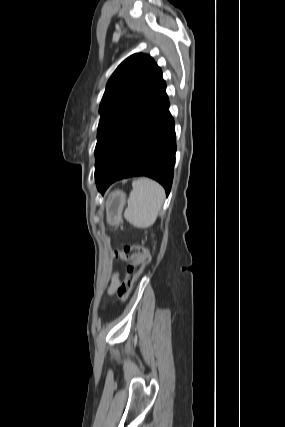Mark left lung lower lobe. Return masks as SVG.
Masks as SVG:
<instances>
[{
    "mask_svg": "<svg viewBox=\"0 0 285 427\" xmlns=\"http://www.w3.org/2000/svg\"><path fill=\"white\" fill-rule=\"evenodd\" d=\"M163 83L157 95L131 123L115 145L95 164V181L103 194L114 181L148 176L169 194L175 163L174 121Z\"/></svg>",
    "mask_w": 285,
    "mask_h": 427,
    "instance_id": "0a47b994",
    "label": "left lung lower lobe"
}]
</instances>
